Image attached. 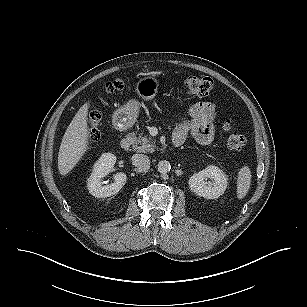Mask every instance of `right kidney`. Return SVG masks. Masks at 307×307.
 <instances>
[{"mask_svg": "<svg viewBox=\"0 0 307 307\" xmlns=\"http://www.w3.org/2000/svg\"><path fill=\"white\" fill-rule=\"evenodd\" d=\"M116 156L111 153H103L95 162L93 171L88 179V190L91 195L97 198L110 197L120 191L125 185L127 176L125 173L119 172L114 175V182L103 185L104 178L114 167Z\"/></svg>", "mask_w": 307, "mask_h": 307, "instance_id": "right-kidney-1", "label": "right kidney"}]
</instances>
